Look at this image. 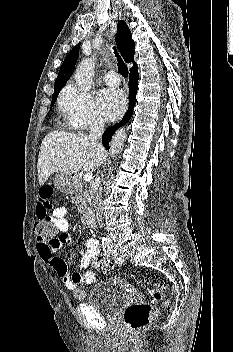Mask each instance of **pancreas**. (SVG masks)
Here are the masks:
<instances>
[{
  "label": "pancreas",
  "instance_id": "pancreas-1",
  "mask_svg": "<svg viewBox=\"0 0 233 352\" xmlns=\"http://www.w3.org/2000/svg\"><path fill=\"white\" fill-rule=\"evenodd\" d=\"M75 187V197L78 200V210L80 212H85L88 206L91 204L92 200V190L91 187L85 184L82 180H76L74 183Z\"/></svg>",
  "mask_w": 233,
  "mask_h": 352
}]
</instances>
